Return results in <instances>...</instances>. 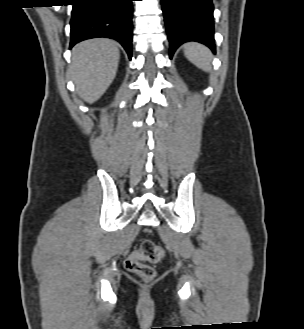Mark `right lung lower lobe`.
<instances>
[{"label": "right lung lower lobe", "instance_id": "right-lung-lower-lobe-1", "mask_svg": "<svg viewBox=\"0 0 304 329\" xmlns=\"http://www.w3.org/2000/svg\"><path fill=\"white\" fill-rule=\"evenodd\" d=\"M70 48L96 37L117 40L131 59L133 0H72Z\"/></svg>", "mask_w": 304, "mask_h": 329}]
</instances>
